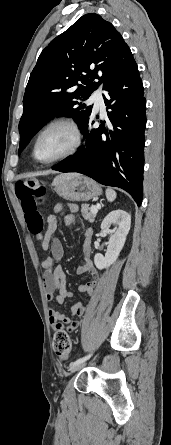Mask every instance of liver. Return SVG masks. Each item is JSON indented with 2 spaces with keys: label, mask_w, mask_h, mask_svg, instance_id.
<instances>
[{
  "label": "liver",
  "mask_w": 171,
  "mask_h": 445,
  "mask_svg": "<svg viewBox=\"0 0 171 445\" xmlns=\"http://www.w3.org/2000/svg\"><path fill=\"white\" fill-rule=\"evenodd\" d=\"M76 174L62 175V176H75Z\"/></svg>",
  "instance_id": "1"
}]
</instances>
